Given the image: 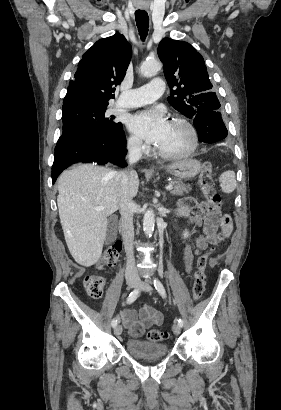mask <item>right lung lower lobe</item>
<instances>
[{
  "mask_svg": "<svg viewBox=\"0 0 281 410\" xmlns=\"http://www.w3.org/2000/svg\"><path fill=\"white\" fill-rule=\"evenodd\" d=\"M126 137L122 130L109 136L80 137L55 147L52 181L68 166L78 162L113 163L125 167Z\"/></svg>",
  "mask_w": 281,
  "mask_h": 410,
  "instance_id": "98d812e1",
  "label": "right lung lower lobe"
}]
</instances>
